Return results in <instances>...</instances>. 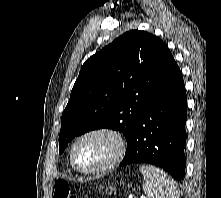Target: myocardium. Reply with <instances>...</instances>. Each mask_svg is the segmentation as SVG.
Wrapping results in <instances>:
<instances>
[{"label": "myocardium", "mask_w": 221, "mask_h": 198, "mask_svg": "<svg viewBox=\"0 0 221 198\" xmlns=\"http://www.w3.org/2000/svg\"><path fill=\"white\" fill-rule=\"evenodd\" d=\"M92 136H106L110 138L114 143V152L111 157L101 166L93 169H86L77 165L75 161V149L83 139ZM126 147V141L119 131L110 127L92 128L78 135L73 141L70 149V163L72 167L79 173L85 175H98L115 167L125 155Z\"/></svg>", "instance_id": "1"}]
</instances>
